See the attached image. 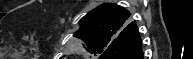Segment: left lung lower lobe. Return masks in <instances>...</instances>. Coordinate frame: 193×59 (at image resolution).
<instances>
[{"instance_id":"0a47b994","label":"left lung lower lobe","mask_w":193,"mask_h":59,"mask_svg":"<svg viewBox=\"0 0 193 59\" xmlns=\"http://www.w3.org/2000/svg\"><path fill=\"white\" fill-rule=\"evenodd\" d=\"M141 39L135 23H130L120 39L107 48L99 59H143Z\"/></svg>"}]
</instances>
